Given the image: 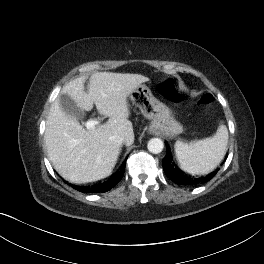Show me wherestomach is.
<instances>
[{
  "label": "stomach",
  "instance_id": "0dacf381",
  "mask_svg": "<svg viewBox=\"0 0 264 264\" xmlns=\"http://www.w3.org/2000/svg\"><path fill=\"white\" fill-rule=\"evenodd\" d=\"M130 98L143 116L151 120V133L173 138L183 132V126L173 117L170 108L156 99L148 86L140 84L130 93Z\"/></svg>",
  "mask_w": 264,
  "mask_h": 264
}]
</instances>
